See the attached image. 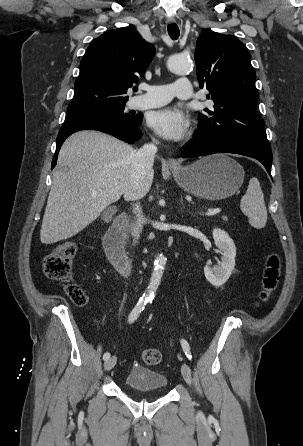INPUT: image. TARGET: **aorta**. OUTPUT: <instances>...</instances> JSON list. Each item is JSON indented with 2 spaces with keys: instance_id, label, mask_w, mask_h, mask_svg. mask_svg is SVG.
Wrapping results in <instances>:
<instances>
[{
  "instance_id": "obj_1",
  "label": "aorta",
  "mask_w": 303,
  "mask_h": 446,
  "mask_svg": "<svg viewBox=\"0 0 303 446\" xmlns=\"http://www.w3.org/2000/svg\"><path fill=\"white\" fill-rule=\"evenodd\" d=\"M168 68L175 74H186L192 69V63L187 59L180 56H173L168 60ZM166 257L162 254L157 255L154 261V270L151 275V279L145 294V299H153L158 286L161 282V278L166 265Z\"/></svg>"
}]
</instances>
